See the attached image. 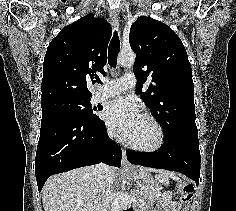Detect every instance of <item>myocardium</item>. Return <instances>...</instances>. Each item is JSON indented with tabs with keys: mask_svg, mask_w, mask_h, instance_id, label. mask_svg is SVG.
<instances>
[{
	"mask_svg": "<svg viewBox=\"0 0 236 211\" xmlns=\"http://www.w3.org/2000/svg\"><path fill=\"white\" fill-rule=\"evenodd\" d=\"M142 117L145 118L147 121H149L155 127V129L157 131V140H156L155 144L150 145V146H142V145H138V144L131 142L126 137L123 138V142L127 147H129L133 150L139 151V152H146V153L157 152L163 147V145L165 143L164 128L161 125V123L156 118H154L152 115L145 113L142 115Z\"/></svg>",
	"mask_w": 236,
	"mask_h": 211,
	"instance_id": "1",
	"label": "myocardium"
}]
</instances>
